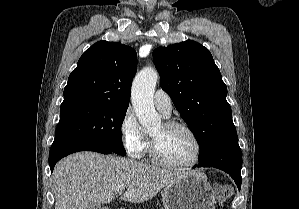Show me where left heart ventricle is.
Listing matches in <instances>:
<instances>
[{"mask_svg":"<svg viewBox=\"0 0 299 209\" xmlns=\"http://www.w3.org/2000/svg\"><path fill=\"white\" fill-rule=\"evenodd\" d=\"M161 156L172 163H187L195 154V143L182 129H166L162 124L150 132Z\"/></svg>","mask_w":299,"mask_h":209,"instance_id":"left-heart-ventricle-1","label":"left heart ventricle"}]
</instances>
